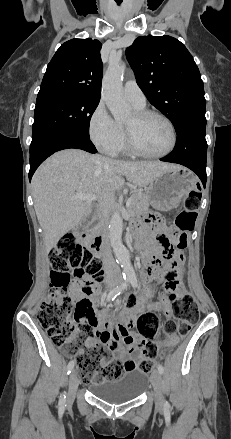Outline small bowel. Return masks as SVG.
<instances>
[{
  "instance_id": "obj_1",
  "label": "small bowel",
  "mask_w": 231,
  "mask_h": 439,
  "mask_svg": "<svg viewBox=\"0 0 231 439\" xmlns=\"http://www.w3.org/2000/svg\"><path fill=\"white\" fill-rule=\"evenodd\" d=\"M159 224L161 222L157 221ZM163 230L172 235L174 230L163 227ZM171 256L172 250L169 240L158 241L150 234L148 235V242L145 250L144 260L148 264V273L144 274V279L147 286L142 292L141 298L138 300L137 305L132 309L121 310L118 314L120 323L112 324L110 317L114 314L113 310L108 307H102L99 309V301L96 298V290L91 293H85L81 288H76L74 297L76 301H84L88 303V308L83 314L78 317L81 324L92 328L98 327L99 339L106 346L109 347L113 355L121 357L124 360L125 365L129 361L136 364L137 358H131V355L138 353L143 346V339L137 336L130 329L133 327L137 318L142 315L146 310L155 309L159 312L167 314L169 311V301L163 299L156 304L150 302V298L153 294L154 283L160 280L159 275L154 270L152 265L153 261L159 255ZM182 267V258L179 256L174 261L166 263L167 272H173L176 274V278L170 282H166L165 289L176 294H182L184 292V286L179 282L178 277ZM94 340L87 343V346ZM173 344V341L166 339L161 341V348L165 349ZM80 352H84L82 348ZM127 370V366H126Z\"/></svg>"
}]
</instances>
